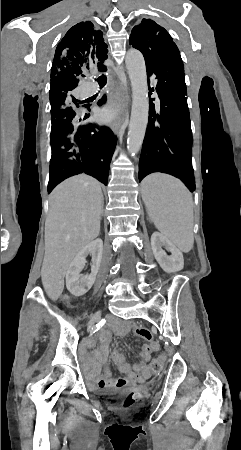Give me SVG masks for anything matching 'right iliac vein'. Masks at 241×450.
<instances>
[{"instance_id": "right-iliac-vein-1", "label": "right iliac vein", "mask_w": 241, "mask_h": 450, "mask_svg": "<svg viewBox=\"0 0 241 450\" xmlns=\"http://www.w3.org/2000/svg\"><path fill=\"white\" fill-rule=\"evenodd\" d=\"M100 312H97L93 318L91 319V321L89 322V326H91L98 318H99Z\"/></svg>"}]
</instances>
